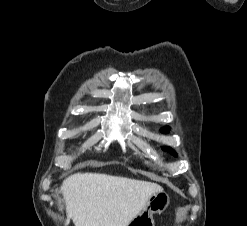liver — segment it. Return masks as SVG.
<instances>
[{
    "label": "liver",
    "mask_w": 247,
    "mask_h": 226,
    "mask_svg": "<svg viewBox=\"0 0 247 226\" xmlns=\"http://www.w3.org/2000/svg\"><path fill=\"white\" fill-rule=\"evenodd\" d=\"M162 190L156 183L100 173H76L61 186L66 226H127Z\"/></svg>",
    "instance_id": "1"
}]
</instances>
